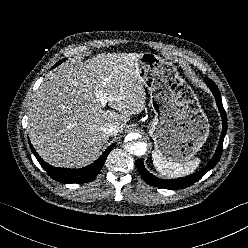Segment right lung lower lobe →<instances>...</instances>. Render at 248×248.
I'll return each instance as SVG.
<instances>
[{
  "instance_id": "98d812e1",
  "label": "right lung lower lobe",
  "mask_w": 248,
  "mask_h": 248,
  "mask_svg": "<svg viewBox=\"0 0 248 248\" xmlns=\"http://www.w3.org/2000/svg\"><path fill=\"white\" fill-rule=\"evenodd\" d=\"M29 144L33 154L39 161L42 168L49 174L50 177L61 183H85L93 180L99 173L102 166L104 165L108 154L115 146V144L110 145L94 163H92L87 167L80 169H69V168L67 169V168L53 167L47 164L36 153L30 142Z\"/></svg>"
}]
</instances>
